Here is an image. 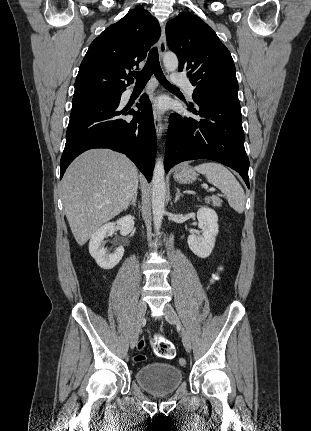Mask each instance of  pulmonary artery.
<instances>
[{
	"instance_id": "1",
	"label": "pulmonary artery",
	"mask_w": 311,
	"mask_h": 431,
	"mask_svg": "<svg viewBox=\"0 0 311 431\" xmlns=\"http://www.w3.org/2000/svg\"><path fill=\"white\" fill-rule=\"evenodd\" d=\"M175 83H177L178 85L182 86L184 88V90L186 91V93L189 96H192L194 93V86L191 84L190 81H179V80H174Z\"/></svg>"
}]
</instances>
